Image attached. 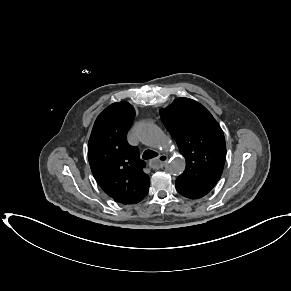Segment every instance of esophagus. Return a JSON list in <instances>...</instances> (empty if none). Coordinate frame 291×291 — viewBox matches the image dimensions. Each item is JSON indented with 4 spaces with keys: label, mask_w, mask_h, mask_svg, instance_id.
I'll return each instance as SVG.
<instances>
[{
    "label": "esophagus",
    "mask_w": 291,
    "mask_h": 291,
    "mask_svg": "<svg viewBox=\"0 0 291 291\" xmlns=\"http://www.w3.org/2000/svg\"><path fill=\"white\" fill-rule=\"evenodd\" d=\"M168 161V157L165 154L159 155L157 158L150 161V166L153 169L162 168Z\"/></svg>",
    "instance_id": "esophagus-1"
}]
</instances>
